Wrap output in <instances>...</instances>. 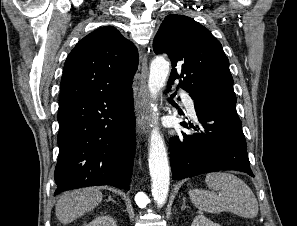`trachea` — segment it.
<instances>
[{"label":"trachea","instance_id":"trachea-1","mask_svg":"<svg viewBox=\"0 0 297 226\" xmlns=\"http://www.w3.org/2000/svg\"><path fill=\"white\" fill-rule=\"evenodd\" d=\"M168 100H169V101H173L172 98H169Z\"/></svg>","mask_w":297,"mask_h":226}]
</instances>
